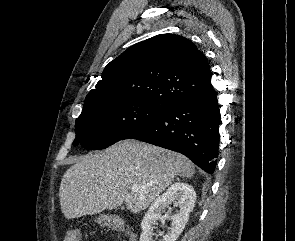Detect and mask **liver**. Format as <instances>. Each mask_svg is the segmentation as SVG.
<instances>
[{
    "label": "liver",
    "mask_w": 295,
    "mask_h": 241,
    "mask_svg": "<svg viewBox=\"0 0 295 241\" xmlns=\"http://www.w3.org/2000/svg\"><path fill=\"white\" fill-rule=\"evenodd\" d=\"M195 165L184 155L135 140L104 152L78 157L64 173L59 198L67 219L115 209L125 202L133 213L145 210L176 176L190 177ZM141 188L129 192L132 185Z\"/></svg>",
    "instance_id": "1"
}]
</instances>
